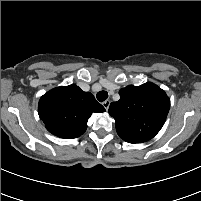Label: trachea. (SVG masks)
Instances as JSON below:
<instances>
[{"label":"trachea","instance_id":"trachea-1","mask_svg":"<svg viewBox=\"0 0 201 201\" xmlns=\"http://www.w3.org/2000/svg\"><path fill=\"white\" fill-rule=\"evenodd\" d=\"M99 102H103L108 98V93L106 91H100L96 95Z\"/></svg>","mask_w":201,"mask_h":201}]
</instances>
